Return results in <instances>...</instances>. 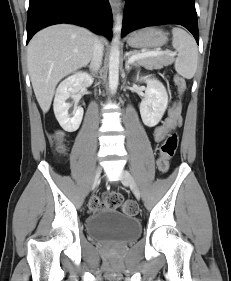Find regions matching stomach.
<instances>
[{
	"instance_id": "1",
	"label": "stomach",
	"mask_w": 231,
	"mask_h": 281,
	"mask_svg": "<svg viewBox=\"0 0 231 281\" xmlns=\"http://www.w3.org/2000/svg\"><path fill=\"white\" fill-rule=\"evenodd\" d=\"M167 34L156 27H147L131 33L127 43L133 48L161 47L167 42Z\"/></svg>"
}]
</instances>
